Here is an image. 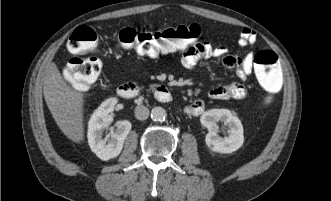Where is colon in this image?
<instances>
[{"instance_id":"5ec220e1","label":"colon","mask_w":331,"mask_h":201,"mask_svg":"<svg viewBox=\"0 0 331 201\" xmlns=\"http://www.w3.org/2000/svg\"><path fill=\"white\" fill-rule=\"evenodd\" d=\"M201 35L198 24L166 28L159 31H137L123 28L114 32L117 44L140 55L157 56L162 53L187 49L195 44ZM97 33L88 26L77 28L68 40V50L72 54H84L97 46ZM260 85L267 92L264 103H270L272 96L282 87L283 68L277 54L271 50H261L253 59ZM102 63L96 57H73L65 66L66 80L78 91H84L101 74Z\"/></svg>"}]
</instances>
